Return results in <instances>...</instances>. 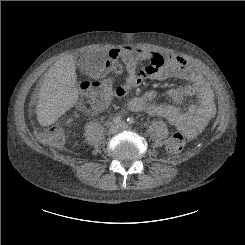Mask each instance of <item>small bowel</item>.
I'll return each mask as SVG.
<instances>
[{"label":"small bowel","mask_w":245,"mask_h":245,"mask_svg":"<svg viewBox=\"0 0 245 245\" xmlns=\"http://www.w3.org/2000/svg\"><path fill=\"white\" fill-rule=\"evenodd\" d=\"M112 60L121 58L125 65L126 76L124 82L112 88L110 93H100L90 89H83L85 104L80 109L89 115L103 111L114 97L123 98L132 89L145 85L150 80H166L180 78L190 83L168 90L167 95L172 103L165 104L159 101L156 94L147 92L128 101V108L134 112H144L151 116L165 118L177 130L192 137L203 129L214 114V95L209 83L195 68L179 55L160 53L150 50H141L135 57L129 55L128 47H115L110 50ZM163 65H160V62ZM146 62L143 68L139 65ZM111 70V61H107L98 75L103 77ZM71 69L67 70L70 77ZM196 95L199 104L187 110L178 106L184 98Z\"/></svg>","instance_id":"obj_1"}]
</instances>
